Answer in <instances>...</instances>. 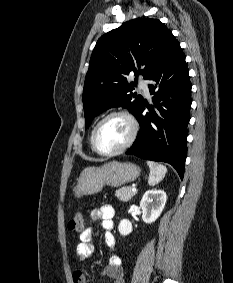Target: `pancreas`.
Masks as SVG:
<instances>
[{
  "mask_svg": "<svg viewBox=\"0 0 233 283\" xmlns=\"http://www.w3.org/2000/svg\"><path fill=\"white\" fill-rule=\"evenodd\" d=\"M136 193L131 191V187H122L116 190L115 195L121 201L127 202L129 201Z\"/></svg>",
  "mask_w": 233,
  "mask_h": 283,
  "instance_id": "cf45deb5",
  "label": "pancreas"
}]
</instances>
